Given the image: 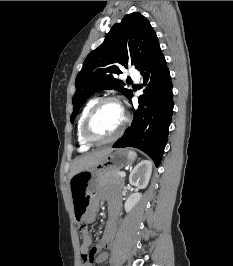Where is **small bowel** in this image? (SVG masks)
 Instances as JSON below:
<instances>
[{
    "instance_id": "obj_1",
    "label": "small bowel",
    "mask_w": 233,
    "mask_h": 266,
    "mask_svg": "<svg viewBox=\"0 0 233 266\" xmlns=\"http://www.w3.org/2000/svg\"><path fill=\"white\" fill-rule=\"evenodd\" d=\"M109 203L112 213H116L120 205L119 200L116 198H109ZM98 205H99V198L95 197L92 200L91 207L87 215V220L89 222L94 221ZM116 228H117V221L115 218H111L106 225L102 238L92 247H91L92 239L91 236L89 235L88 230L87 229L82 230V243L80 248L82 260L84 255L86 254L92 255L91 262L84 263V266H93L94 263H103L107 260L108 254L104 252L103 249L111 246L115 236Z\"/></svg>"
}]
</instances>
